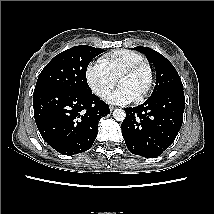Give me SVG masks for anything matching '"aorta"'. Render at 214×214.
Here are the masks:
<instances>
[{
    "label": "aorta",
    "instance_id": "aorta-1",
    "mask_svg": "<svg viewBox=\"0 0 214 214\" xmlns=\"http://www.w3.org/2000/svg\"><path fill=\"white\" fill-rule=\"evenodd\" d=\"M113 117L117 121H123L126 117V113L123 109H115L113 111Z\"/></svg>",
    "mask_w": 214,
    "mask_h": 214
}]
</instances>
